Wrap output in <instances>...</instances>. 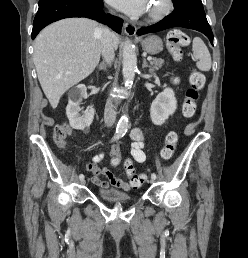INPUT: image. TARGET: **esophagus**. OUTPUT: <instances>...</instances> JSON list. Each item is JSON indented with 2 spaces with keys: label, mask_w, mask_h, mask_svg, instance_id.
<instances>
[{
  "label": "esophagus",
  "mask_w": 248,
  "mask_h": 258,
  "mask_svg": "<svg viewBox=\"0 0 248 258\" xmlns=\"http://www.w3.org/2000/svg\"><path fill=\"white\" fill-rule=\"evenodd\" d=\"M124 31L127 35L132 36L136 34L137 27L133 23L126 22L124 23Z\"/></svg>",
  "instance_id": "34e87169"
}]
</instances>
